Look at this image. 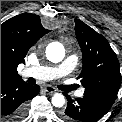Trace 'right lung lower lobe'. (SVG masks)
<instances>
[{
    "label": "right lung lower lobe",
    "mask_w": 122,
    "mask_h": 122,
    "mask_svg": "<svg viewBox=\"0 0 122 122\" xmlns=\"http://www.w3.org/2000/svg\"><path fill=\"white\" fill-rule=\"evenodd\" d=\"M40 92L22 79L1 80V122H18L26 112L27 101Z\"/></svg>",
    "instance_id": "98d812e1"
}]
</instances>
